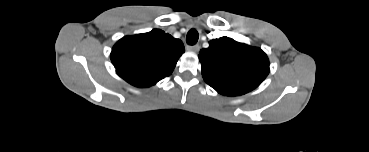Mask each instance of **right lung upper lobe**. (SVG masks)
I'll use <instances>...</instances> for the list:
<instances>
[{
  "label": "right lung upper lobe",
  "instance_id": "1",
  "mask_svg": "<svg viewBox=\"0 0 369 152\" xmlns=\"http://www.w3.org/2000/svg\"><path fill=\"white\" fill-rule=\"evenodd\" d=\"M185 51L181 40L160 29L125 36L113 47L117 74L136 87H150L169 76Z\"/></svg>",
  "mask_w": 369,
  "mask_h": 152
}]
</instances>
